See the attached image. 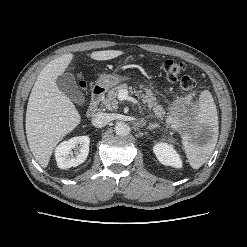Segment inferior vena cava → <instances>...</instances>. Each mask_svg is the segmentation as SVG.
Instances as JSON below:
<instances>
[{"mask_svg": "<svg viewBox=\"0 0 247 247\" xmlns=\"http://www.w3.org/2000/svg\"><path fill=\"white\" fill-rule=\"evenodd\" d=\"M91 122L95 127L101 128L107 125L109 122V116L106 113L98 112L93 115Z\"/></svg>", "mask_w": 247, "mask_h": 247, "instance_id": "1", "label": "inferior vena cava"}]
</instances>
